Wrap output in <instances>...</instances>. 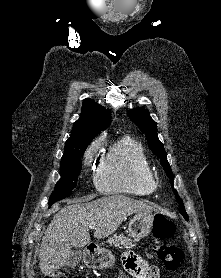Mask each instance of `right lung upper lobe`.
<instances>
[{
	"label": "right lung upper lobe",
	"instance_id": "1",
	"mask_svg": "<svg viewBox=\"0 0 221 278\" xmlns=\"http://www.w3.org/2000/svg\"><path fill=\"white\" fill-rule=\"evenodd\" d=\"M111 123L109 109L92 99L83 100L80 118L74 123L70 138L65 143L64 152L88 144L101 130Z\"/></svg>",
	"mask_w": 221,
	"mask_h": 278
}]
</instances>
